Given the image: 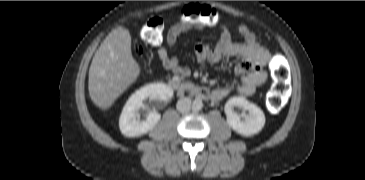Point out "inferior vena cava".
<instances>
[{
    "mask_svg": "<svg viewBox=\"0 0 365 180\" xmlns=\"http://www.w3.org/2000/svg\"><path fill=\"white\" fill-rule=\"evenodd\" d=\"M176 108L179 112H187L191 108V99L190 98H181L178 100L176 104Z\"/></svg>",
    "mask_w": 365,
    "mask_h": 180,
    "instance_id": "obj_1",
    "label": "inferior vena cava"
}]
</instances>
